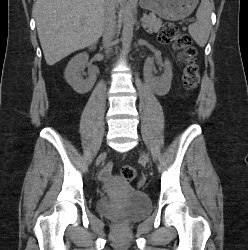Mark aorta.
I'll return each instance as SVG.
<instances>
[{
  "mask_svg": "<svg viewBox=\"0 0 248 250\" xmlns=\"http://www.w3.org/2000/svg\"><path fill=\"white\" fill-rule=\"evenodd\" d=\"M134 27V5L130 2L127 4L124 20H123V31H122V48L124 53H128L133 37Z\"/></svg>",
  "mask_w": 248,
  "mask_h": 250,
  "instance_id": "aorta-1",
  "label": "aorta"
}]
</instances>
